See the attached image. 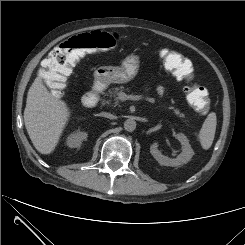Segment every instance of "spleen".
I'll return each mask as SVG.
<instances>
[{
    "label": "spleen",
    "instance_id": "obj_1",
    "mask_svg": "<svg viewBox=\"0 0 245 245\" xmlns=\"http://www.w3.org/2000/svg\"><path fill=\"white\" fill-rule=\"evenodd\" d=\"M217 119L216 114L211 112L205 119L202 128L199 132V141L204 150H208L214 140L216 131Z\"/></svg>",
    "mask_w": 245,
    "mask_h": 245
}]
</instances>
